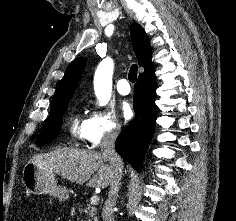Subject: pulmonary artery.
Instances as JSON below:
<instances>
[{"instance_id": "pulmonary-artery-1", "label": "pulmonary artery", "mask_w": 236, "mask_h": 221, "mask_svg": "<svg viewBox=\"0 0 236 221\" xmlns=\"http://www.w3.org/2000/svg\"><path fill=\"white\" fill-rule=\"evenodd\" d=\"M116 88L121 95H128L131 91L128 80L124 78L117 82Z\"/></svg>"}]
</instances>
